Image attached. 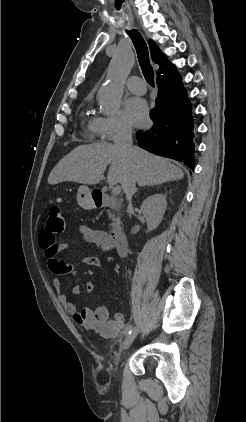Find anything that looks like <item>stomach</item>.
Returning <instances> with one entry per match:
<instances>
[{"mask_svg": "<svg viewBox=\"0 0 246 422\" xmlns=\"http://www.w3.org/2000/svg\"><path fill=\"white\" fill-rule=\"evenodd\" d=\"M77 202L84 209H93L95 201L92 197V190L85 185L80 186L77 193Z\"/></svg>", "mask_w": 246, "mask_h": 422, "instance_id": "obj_1", "label": "stomach"}]
</instances>
